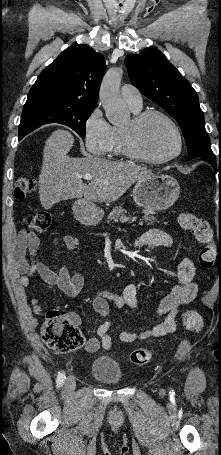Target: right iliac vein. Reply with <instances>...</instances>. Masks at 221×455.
Here are the masks:
<instances>
[{"instance_id":"1","label":"right iliac vein","mask_w":221,"mask_h":455,"mask_svg":"<svg viewBox=\"0 0 221 455\" xmlns=\"http://www.w3.org/2000/svg\"><path fill=\"white\" fill-rule=\"evenodd\" d=\"M76 381L73 376H68L65 380L63 389L65 393H70L75 389Z\"/></svg>"}]
</instances>
